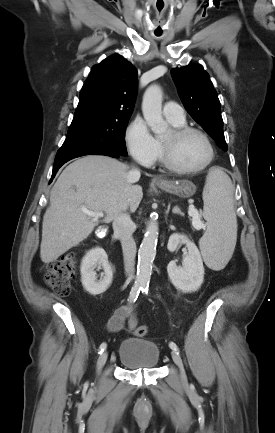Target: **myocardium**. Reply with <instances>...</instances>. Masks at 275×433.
I'll return each instance as SVG.
<instances>
[{
  "mask_svg": "<svg viewBox=\"0 0 275 433\" xmlns=\"http://www.w3.org/2000/svg\"><path fill=\"white\" fill-rule=\"evenodd\" d=\"M196 133L201 135L205 141L208 144L209 147V157L208 159L200 166L194 167V168H185L179 166L173 158L171 148L168 146L167 143H165L163 140L161 141V149H162V158L165 166L179 174H195L203 171L206 169L214 160L215 158V146L211 139V137L202 129L198 127L193 126H181V127H174L171 129V135L174 140H179L183 137H185L188 134Z\"/></svg>",
  "mask_w": 275,
  "mask_h": 433,
  "instance_id": "1",
  "label": "myocardium"
}]
</instances>
